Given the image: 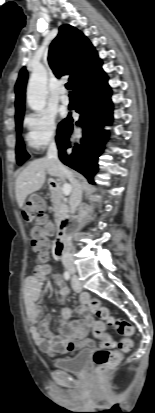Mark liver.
<instances>
[{
    "mask_svg": "<svg viewBox=\"0 0 155 413\" xmlns=\"http://www.w3.org/2000/svg\"><path fill=\"white\" fill-rule=\"evenodd\" d=\"M46 174L57 177L60 181L65 180L58 168L52 164L47 157L32 161L17 177L15 183V193L18 206L23 208L27 196L40 190L45 183ZM73 176L74 173L72 172ZM73 186V184H72ZM83 188L88 186L83 184Z\"/></svg>",
    "mask_w": 155,
    "mask_h": 413,
    "instance_id": "obj_1",
    "label": "liver"
}]
</instances>
